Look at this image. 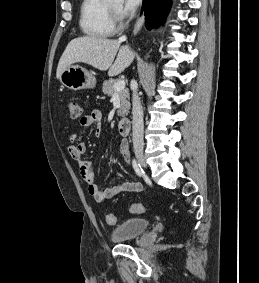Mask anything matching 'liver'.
Listing matches in <instances>:
<instances>
[{"mask_svg":"<svg viewBox=\"0 0 259 283\" xmlns=\"http://www.w3.org/2000/svg\"><path fill=\"white\" fill-rule=\"evenodd\" d=\"M120 44V40L96 36H83L71 40L59 60L57 78L60 79L62 72L74 63H86L100 71L108 70L109 76L120 74L134 58L130 48L120 47Z\"/></svg>","mask_w":259,"mask_h":283,"instance_id":"liver-1","label":"liver"}]
</instances>
